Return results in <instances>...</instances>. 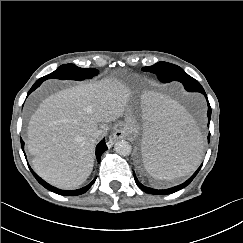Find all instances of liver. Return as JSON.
<instances>
[{"instance_id":"6515ba94","label":"liver","mask_w":243,"mask_h":243,"mask_svg":"<svg viewBox=\"0 0 243 243\" xmlns=\"http://www.w3.org/2000/svg\"><path fill=\"white\" fill-rule=\"evenodd\" d=\"M129 101V90L112 79L80 83L47 97L27 130L33 169L53 186L78 188L93 169V133L105 134L108 123L127 111Z\"/></svg>"}]
</instances>
